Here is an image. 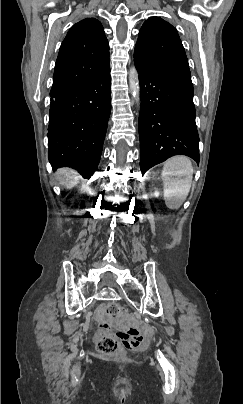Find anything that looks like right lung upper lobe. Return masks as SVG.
<instances>
[{
    "mask_svg": "<svg viewBox=\"0 0 243 404\" xmlns=\"http://www.w3.org/2000/svg\"><path fill=\"white\" fill-rule=\"evenodd\" d=\"M109 69V44L101 23L83 19L72 26L61 44L50 94L85 83Z\"/></svg>",
    "mask_w": 243,
    "mask_h": 404,
    "instance_id": "cb5924a9",
    "label": "right lung upper lobe"
}]
</instances>
